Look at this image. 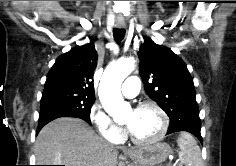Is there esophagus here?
<instances>
[{
    "label": "esophagus",
    "instance_id": "obj_1",
    "mask_svg": "<svg viewBox=\"0 0 236 166\" xmlns=\"http://www.w3.org/2000/svg\"><path fill=\"white\" fill-rule=\"evenodd\" d=\"M116 27L119 29H123L125 27V23L123 21L116 22Z\"/></svg>",
    "mask_w": 236,
    "mask_h": 166
}]
</instances>
